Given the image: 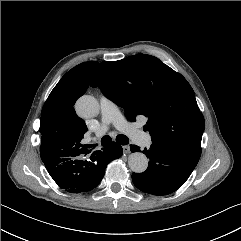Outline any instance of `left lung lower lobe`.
I'll list each match as a JSON object with an SVG mask.
<instances>
[{
	"instance_id": "obj_1",
	"label": "left lung lower lobe",
	"mask_w": 241,
	"mask_h": 241,
	"mask_svg": "<svg viewBox=\"0 0 241 241\" xmlns=\"http://www.w3.org/2000/svg\"><path fill=\"white\" fill-rule=\"evenodd\" d=\"M130 149L141 151L136 145H130ZM142 152L150 159L149 165L145 172L132 174L133 183L141 191L159 196L179 189L199 161V157L154 143Z\"/></svg>"
}]
</instances>
